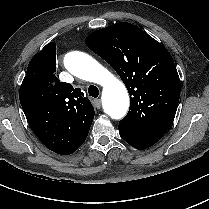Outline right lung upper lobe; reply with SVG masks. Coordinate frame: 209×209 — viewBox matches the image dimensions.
I'll list each match as a JSON object with an SVG mask.
<instances>
[{
	"mask_svg": "<svg viewBox=\"0 0 209 209\" xmlns=\"http://www.w3.org/2000/svg\"><path fill=\"white\" fill-rule=\"evenodd\" d=\"M56 72V44H47L30 61L19 91L24 113L46 109L44 125L56 129L55 139L78 148L86 139L94 108L80 88L60 82Z\"/></svg>",
	"mask_w": 209,
	"mask_h": 209,
	"instance_id": "cb5924a9",
	"label": "right lung upper lobe"
}]
</instances>
